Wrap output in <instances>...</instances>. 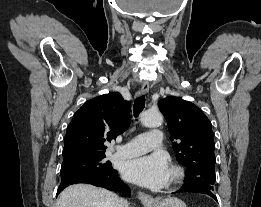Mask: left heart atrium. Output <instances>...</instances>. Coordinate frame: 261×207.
I'll use <instances>...</instances> for the list:
<instances>
[{
    "instance_id": "left-heart-atrium-1",
    "label": "left heart atrium",
    "mask_w": 261,
    "mask_h": 207,
    "mask_svg": "<svg viewBox=\"0 0 261 207\" xmlns=\"http://www.w3.org/2000/svg\"><path fill=\"white\" fill-rule=\"evenodd\" d=\"M122 172L130 182L148 188H160L167 182L169 169L166 157L154 153L126 161Z\"/></svg>"
}]
</instances>
